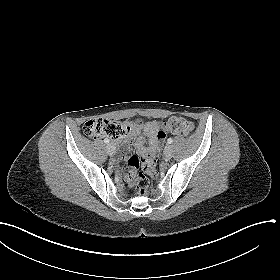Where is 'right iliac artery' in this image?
I'll list each match as a JSON object with an SVG mask.
<instances>
[{
    "mask_svg": "<svg viewBox=\"0 0 280 280\" xmlns=\"http://www.w3.org/2000/svg\"><path fill=\"white\" fill-rule=\"evenodd\" d=\"M104 142L106 143V144H108L109 143V139H104Z\"/></svg>",
    "mask_w": 280,
    "mask_h": 280,
    "instance_id": "1",
    "label": "right iliac artery"
}]
</instances>
